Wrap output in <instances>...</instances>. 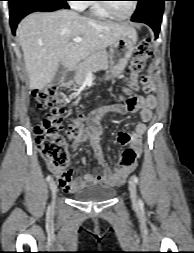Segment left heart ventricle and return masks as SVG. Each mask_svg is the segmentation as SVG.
Here are the masks:
<instances>
[{"instance_id": "1", "label": "left heart ventricle", "mask_w": 194, "mask_h": 253, "mask_svg": "<svg viewBox=\"0 0 194 253\" xmlns=\"http://www.w3.org/2000/svg\"><path fill=\"white\" fill-rule=\"evenodd\" d=\"M132 5V1H113L108 3L111 10L119 16L127 15L131 11Z\"/></svg>"}]
</instances>
